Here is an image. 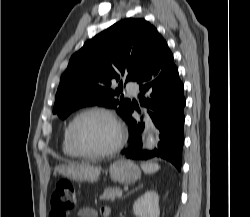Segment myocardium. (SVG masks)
<instances>
[{
  "instance_id": "f54148a6",
  "label": "myocardium",
  "mask_w": 250,
  "mask_h": 217,
  "mask_svg": "<svg viewBox=\"0 0 250 217\" xmlns=\"http://www.w3.org/2000/svg\"><path fill=\"white\" fill-rule=\"evenodd\" d=\"M92 113H98L106 116L114 125L115 130H116V140L114 144L100 152L96 153H90V152H85L83 151L78 144L75 141L74 138V127L75 124L79 119L84 117L85 115L92 114ZM67 135H68V141L70 146L73 148V150L77 153L79 157L82 158H87V159H100V158H105V157H110L116 154L121 150L125 143L126 135H125V128L121 120L118 118V116L109 108L105 106H90L87 107L80 112H78L70 121L68 127H67Z\"/></svg>"
}]
</instances>
